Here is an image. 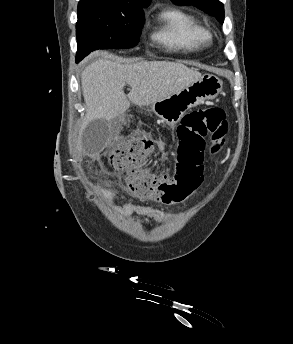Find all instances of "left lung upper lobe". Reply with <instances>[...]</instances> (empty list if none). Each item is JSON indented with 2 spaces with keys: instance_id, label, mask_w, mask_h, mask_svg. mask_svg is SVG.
I'll return each mask as SVG.
<instances>
[{
  "instance_id": "obj_1",
  "label": "left lung upper lobe",
  "mask_w": 293,
  "mask_h": 344,
  "mask_svg": "<svg viewBox=\"0 0 293 344\" xmlns=\"http://www.w3.org/2000/svg\"><path fill=\"white\" fill-rule=\"evenodd\" d=\"M174 3L186 6H195L209 15L215 16L218 21L224 22V5L219 0H172Z\"/></svg>"
}]
</instances>
